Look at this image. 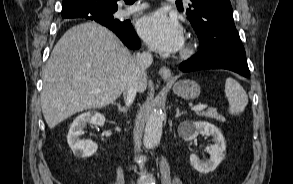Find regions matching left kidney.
<instances>
[{
    "label": "left kidney",
    "mask_w": 293,
    "mask_h": 184,
    "mask_svg": "<svg viewBox=\"0 0 293 184\" xmlns=\"http://www.w3.org/2000/svg\"><path fill=\"white\" fill-rule=\"evenodd\" d=\"M199 133L213 137L214 144L207 148L210 159L200 161L195 154H192L190 156V163L198 172L206 174L214 171L221 163L225 156L226 145L224 137L219 129L208 122H190L185 128L179 129V134L187 141L193 140Z\"/></svg>",
    "instance_id": "obj_1"
}]
</instances>
